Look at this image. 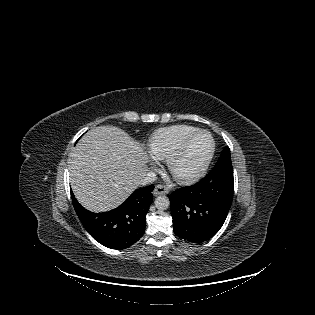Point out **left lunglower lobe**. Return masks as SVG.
Returning <instances> with one entry per match:
<instances>
[{
	"label": "left lung lower lobe",
	"instance_id": "0a47b994",
	"mask_svg": "<svg viewBox=\"0 0 315 315\" xmlns=\"http://www.w3.org/2000/svg\"><path fill=\"white\" fill-rule=\"evenodd\" d=\"M234 192L233 175L212 178L174 191L170 199L175 234L189 242L212 238L222 227Z\"/></svg>",
	"mask_w": 315,
	"mask_h": 315
}]
</instances>
